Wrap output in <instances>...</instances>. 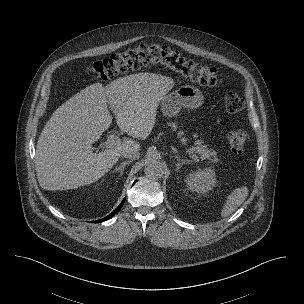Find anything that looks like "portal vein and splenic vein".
<instances>
[{
	"label": "portal vein and splenic vein",
	"mask_w": 304,
	"mask_h": 304,
	"mask_svg": "<svg viewBox=\"0 0 304 304\" xmlns=\"http://www.w3.org/2000/svg\"><path fill=\"white\" fill-rule=\"evenodd\" d=\"M121 143V139L114 133L108 135V139L103 143V146L107 148H111L113 146L119 145ZM191 158L195 161H198V157L195 153L191 152Z\"/></svg>",
	"instance_id": "portal-vein-and-splenic-vein-1"
}]
</instances>
